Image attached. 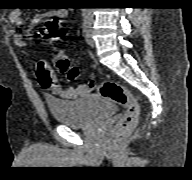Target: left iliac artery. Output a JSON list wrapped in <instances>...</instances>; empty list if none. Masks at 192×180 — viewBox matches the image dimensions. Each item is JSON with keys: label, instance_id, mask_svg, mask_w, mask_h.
Instances as JSON below:
<instances>
[{"label": "left iliac artery", "instance_id": "obj_1", "mask_svg": "<svg viewBox=\"0 0 192 180\" xmlns=\"http://www.w3.org/2000/svg\"><path fill=\"white\" fill-rule=\"evenodd\" d=\"M92 17L90 14H86L83 22V31L86 32L91 26Z\"/></svg>", "mask_w": 192, "mask_h": 180}]
</instances>
